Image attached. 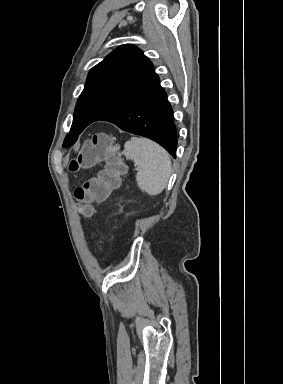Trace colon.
I'll return each mask as SVG.
<instances>
[{"mask_svg": "<svg viewBox=\"0 0 283 384\" xmlns=\"http://www.w3.org/2000/svg\"><path fill=\"white\" fill-rule=\"evenodd\" d=\"M100 162H105L104 169L75 190L78 210L86 217L92 215L94 202L106 200L110 192L119 187L121 175L125 172L117 147L102 132L93 134L85 142L77 157L70 162L69 169L77 171L80 168H91Z\"/></svg>", "mask_w": 283, "mask_h": 384, "instance_id": "obj_1", "label": "colon"}]
</instances>
